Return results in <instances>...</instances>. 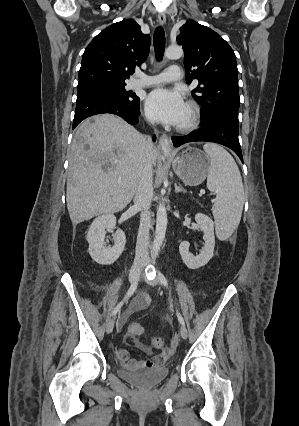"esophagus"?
<instances>
[{
    "mask_svg": "<svg viewBox=\"0 0 299 426\" xmlns=\"http://www.w3.org/2000/svg\"><path fill=\"white\" fill-rule=\"evenodd\" d=\"M158 22L162 26L166 24V16L164 13L158 14ZM159 149L164 155H171L172 154L171 139L165 135H162L159 139Z\"/></svg>",
    "mask_w": 299,
    "mask_h": 426,
    "instance_id": "34e87169",
    "label": "esophagus"
}]
</instances>
